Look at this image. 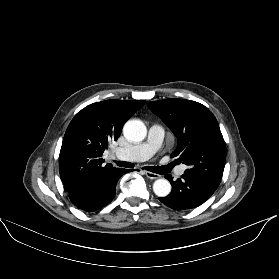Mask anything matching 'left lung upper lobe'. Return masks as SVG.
Here are the masks:
<instances>
[{"mask_svg": "<svg viewBox=\"0 0 279 279\" xmlns=\"http://www.w3.org/2000/svg\"><path fill=\"white\" fill-rule=\"evenodd\" d=\"M178 139L171 157L188 166L185 174L217 189L226 161V145L218 122L204 105L184 99L147 102Z\"/></svg>", "mask_w": 279, "mask_h": 279, "instance_id": "obj_1", "label": "left lung upper lobe"}]
</instances>
